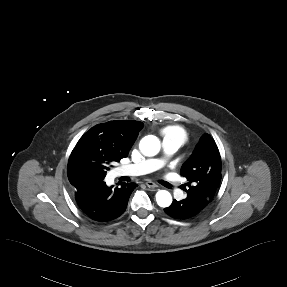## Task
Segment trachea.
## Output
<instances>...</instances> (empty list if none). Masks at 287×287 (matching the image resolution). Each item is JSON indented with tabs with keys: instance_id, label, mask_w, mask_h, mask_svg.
Instances as JSON below:
<instances>
[{
	"instance_id": "trachea-1",
	"label": "trachea",
	"mask_w": 287,
	"mask_h": 287,
	"mask_svg": "<svg viewBox=\"0 0 287 287\" xmlns=\"http://www.w3.org/2000/svg\"><path fill=\"white\" fill-rule=\"evenodd\" d=\"M162 184L168 188H170V184L168 182H162Z\"/></svg>"
}]
</instances>
